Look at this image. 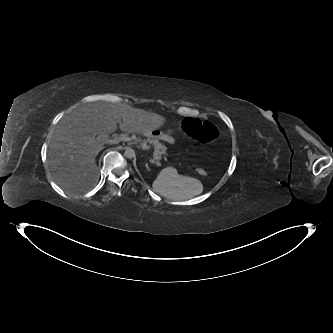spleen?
Listing matches in <instances>:
<instances>
[{"mask_svg":"<svg viewBox=\"0 0 333 333\" xmlns=\"http://www.w3.org/2000/svg\"><path fill=\"white\" fill-rule=\"evenodd\" d=\"M152 187L161 196L173 200H185L203 192V185L198 179L181 176L171 167L157 175Z\"/></svg>","mask_w":333,"mask_h":333,"instance_id":"obj_1","label":"spleen"}]
</instances>
